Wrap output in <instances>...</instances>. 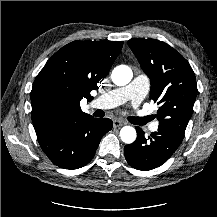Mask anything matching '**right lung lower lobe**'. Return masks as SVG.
Segmentation results:
<instances>
[{
  "mask_svg": "<svg viewBox=\"0 0 217 217\" xmlns=\"http://www.w3.org/2000/svg\"><path fill=\"white\" fill-rule=\"evenodd\" d=\"M112 127L110 119H97L89 115L74 123L39 133L37 138L54 164L65 169H77L92 160L101 138Z\"/></svg>",
  "mask_w": 217,
  "mask_h": 217,
  "instance_id": "right-lung-lower-lobe-1",
  "label": "right lung lower lobe"
}]
</instances>
